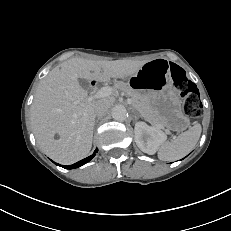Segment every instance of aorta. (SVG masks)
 <instances>
[{
    "label": "aorta",
    "mask_w": 231,
    "mask_h": 231,
    "mask_svg": "<svg viewBox=\"0 0 231 231\" xmlns=\"http://www.w3.org/2000/svg\"><path fill=\"white\" fill-rule=\"evenodd\" d=\"M127 115V110L123 105H116L112 108V117L116 121L126 120Z\"/></svg>",
    "instance_id": "1"
}]
</instances>
